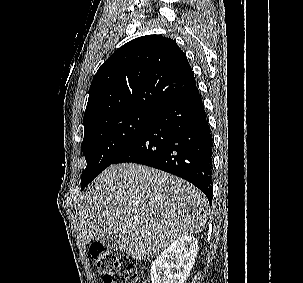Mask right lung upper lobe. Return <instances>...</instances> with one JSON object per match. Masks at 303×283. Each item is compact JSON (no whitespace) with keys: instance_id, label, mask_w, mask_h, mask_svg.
Returning a JSON list of instances; mask_svg holds the SVG:
<instances>
[{"instance_id":"1","label":"right lung upper lobe","mask_w":303,"mask_h":283,"mask_svg":"<svg viewBox=\"0 0 303 283\" xmlns=\"http://www.w3.org/2000/svg\"><path fill=\"white\" fill-rule=\"evenodd\" d=\"M196 88L188 60L170 38L146 35L115 51L90 86L84 129L114 114L156 113Z\"/></svg>"}]
</instances>
